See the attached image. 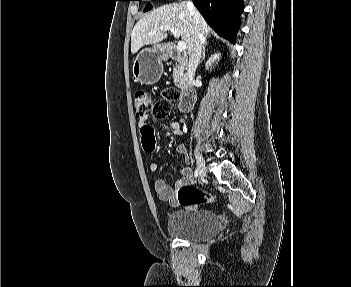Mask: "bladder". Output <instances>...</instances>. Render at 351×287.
<instances>
[{"label": "bladder", "instance_id": "31cf9c89", "mask_svg": "<svg viewBox=\"0 0 351 287\" xmlns=\"http://www.w3.org/2000/svg\"><path fill=\"white\" fill-rule=\"evenodd\" d=\"M219 228V217L211 210H176L167 218L168 233L180 239L205 240L214 236Z\"/></svg>", "mask_w": 351, "mask_h": 287}]
</instances>
